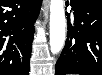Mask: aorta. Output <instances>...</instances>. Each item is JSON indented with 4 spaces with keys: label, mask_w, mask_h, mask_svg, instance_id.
I'll return each mask as SVG.
<instances>
[{
    "label": "aorta",
    "mask_w": 102,
    "mask_h": 75,
    "mask_svg": "<svg viewBox=\"0 0 102 75\" xmlns=\"http://www.w3.org/2000/svg\"><path fill=\"white\" fill-rule=\"evenodd\" d=\"M66 19L63 0L50 1V50L53 54L61 51L65 42Z\"/></svg>",
    "instance_id": "obj_1"
}]
</instances>
